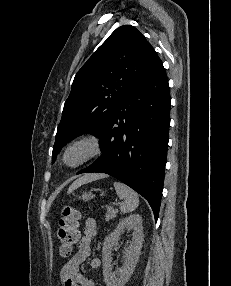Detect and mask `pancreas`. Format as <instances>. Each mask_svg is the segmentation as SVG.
<instances>
[{
  "instance_id": "pancreas-1",
  "label": "pancreas",
  "mask_w": 231,
  "mask_h": 286,
  "mask_svg": "<svg viewBox=\"0 0 231 286\" xmlns=\"http://www.w3.org/2000/svg\"><path fill=\"white\" fill-rule=\"evenodd\" d=\"M117 212L118 211L113 208H108L107 213L105 214V220L109 221V220L114 219L116 217Z\"/></svg>"
}]
</instances>
